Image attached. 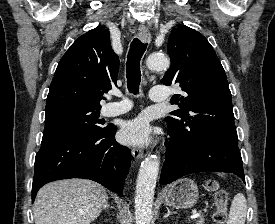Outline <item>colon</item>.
Segmentation results:
<instances>
[{"label":"colon","mask_w":275,"mask_h":224,"mask_svg":"<svg viewBox=\"0 0 275 224\" xmlns=\"http://www.w3.org/2000/svg\"><path fill=\"white\" fill-rule=\"evenodd\" d=\"M207 187L214 194L216 210L213 216V220L215 224H223L226 220L228 194L226 191L220 189L218 183L214 180H209L207 182Z\"/></svg>","instance_id":"colon-1"}]
</instances>
